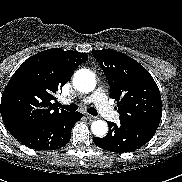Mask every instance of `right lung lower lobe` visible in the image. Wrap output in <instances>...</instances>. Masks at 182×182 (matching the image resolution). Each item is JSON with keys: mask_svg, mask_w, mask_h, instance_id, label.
I'll return each mask as SVG.
<instances>
[{"mask_svg": "<svg viewBox=\"0 0 182 182\" xmlns=\"http://www.w3.org/2000/svg\"><path fill=\"white\" fill-rule=\"evenodd\" d=\"M81 117L80 112L69 113L48 123L17 133L14 137L23 145L36 150L58 149L69 142L71 130Z\"/></svg>", "mask_w": 182, "mask_h": 182, "instance_id": "obj_1", "label": "right lung lower lobe"}]
</instances>
